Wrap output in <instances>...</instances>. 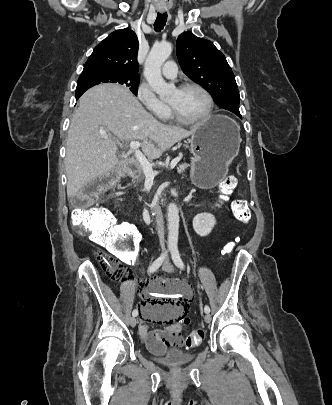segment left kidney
Wrapping results in <instances>:
<instances>
[{"mask_svg":"<svg viewBox=\"0 0 332 405\" xmlns=\"http://www.w3.org/2000/svg\"><path fill=\"white\" fill-rule=\"evenodd\" d=\"M215 224V217L209 213L197 214L193 219L194 231L201 237L210 234Z\"/></svg>","mask_w":332,"mask_h":405,"instance_id":"1","label":"left kidney"}]
</instances>
